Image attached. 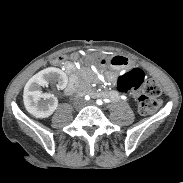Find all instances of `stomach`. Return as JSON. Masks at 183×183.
<instances>
[{
    "mask_svg": "<svg viewBox=\"0 0 183 183\" xmlns=\"http://www.w3.org/2000/svg\"><path fill=\"white\" fill-rule=\"evenodd\" d=\"M105 62V61H104ZM107 66L113 70H122L130 66L128 58L121 55H113L106 59Z\"/></svg>",
    "mask_w": 183,
    "mask_h": 183,
    "instance_id": "stomach-1",
    "label": "stomach"
}]
</instances>
